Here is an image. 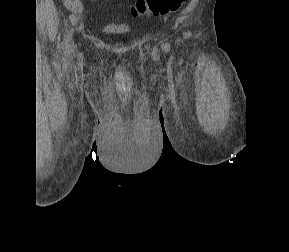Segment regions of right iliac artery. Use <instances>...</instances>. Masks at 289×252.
<instances>
[{
	"label": "right iliac artery",
	"mask_w": 289,
	"mask_h": 252,
	"mask_svg": "<svg viewBox=\"0 0 289 252\" xmlns=\"http://www.w3.org/2000/svg\"><path fill=\"white\" fill-rule=\"evenodd\" d=\"M72 20H74V18L72 19ZM72 33H73V29H71L70 31H69V34H68V37H67V44L70 42V40L72 39Z\"/></svg>",
	"instance_id": "82829eb1"
}]
</instances>
